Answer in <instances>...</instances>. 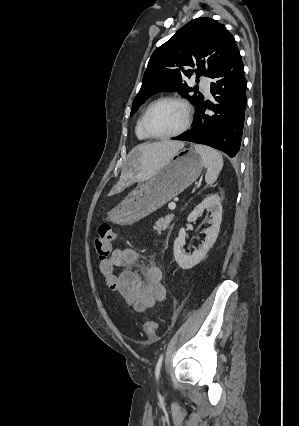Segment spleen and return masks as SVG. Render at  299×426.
<instances>
[{
    "instance_id": "1",
    "label": "spleen",
    "mask_w": 299,
    "mask_h": 426,
    "mask_svg": "<svg viewBox=\"0 0 299 426\" xmlns=\"http://www.w3.org/2000/svg\"><path fill=\"white\" fill-rule=\"evenodd\" d=\"M196 152L202 157L204 167L207 169L205 175V181L207 184H213L223 168V158L222 155L204 145H195Z\"/></svg>"
}]
</instances>
